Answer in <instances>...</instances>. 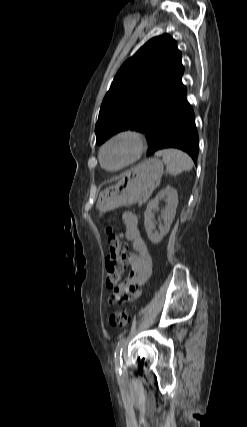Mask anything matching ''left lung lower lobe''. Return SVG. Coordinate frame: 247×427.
<instances>
[{
	"label": "left lung lower lobe",
	"instance_id": "left-lung-lower-lobe-1",
	"mask_svg": "<svg viewBox=\"0 0 247 427\" xmlns=\"http://www.w3.org/2000/svg\"><path fill=\"white\" fill-rule=\"evenodd\" d=\"M145 136L149 144L148 156L164 148H177L190 155L196 164L199 139L186 90L152 119Z\"/></svg>",
	"mask_w": 247,
	"mask_h": 427
}]
</instances>
